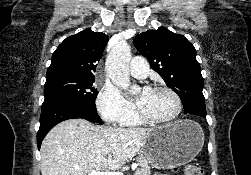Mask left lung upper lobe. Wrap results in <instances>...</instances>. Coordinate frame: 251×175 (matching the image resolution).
Masks as SVG:
<instances>
[{
  "mask_svg": "<svg viewBox=\"0 0 251 175\" xmlns=\"http://www.w3.org/2000/svg\"><path fill=\"white\" fill-rule=\"evenodd\" d=\"M133 42L167 86L180 96L184 106L205 104L203 77L196 60V49L187 38L159 27L138 34Z\"/></svg>",
  "mask_w": 251,
  "mask_h": 175,
  "instance_id": "obj_1",
  "label": "left lung upper lobe"
}]
</instances>
